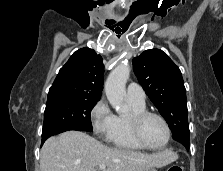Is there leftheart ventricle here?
<instances>
[{"label": "left heart ventricle", "mask_w": 223, "mask_h": 171, "mask_svg": "<svg viewBox=\"0 0 223 171\" xmlns=\"http://www.w3.org/2000/svg\"><path fill=\"white\" fill-rule=\"evenodd\" d=\"M141 136L149 146L159 147L165 142L167 131L161 120L150 116L141 125Z\"/></svg>", "instance_id": "obj_1"}]
</instances>
